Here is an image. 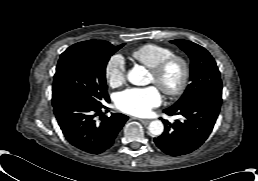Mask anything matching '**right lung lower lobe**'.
Listing matches in <instances>:
<instances>
[{"label":"right lung lower lobe","instance_id":"right-lung-lower-lobe-1","mask_svg":"<svg viewBox=\"0 0 258 181\" xmlns=\"http://www.w3.org/2000/svg\"><path fill=\"white\" fill-rule=\"evenodd\" d=\"M54 113L58 124L70 144L91 154L107 151L128 120V116L112 113L110 117H100L102 105L94 106L75 98L53 100Z\"/></svg>","mask_w":258,"mask_h":181}]
</instances>
